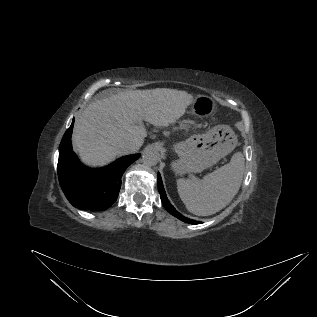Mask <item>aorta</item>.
<instances>
[{"label": "aorta", "instance_id": "1", "mask_svg": "<svg viewBox=\"0 0 317 317\" xmlns=\"http://www.w3.org/2000/svg\"><path fill=\"white\" fill-rule=\"evenodd\" d=\"M142 160L147 166H155L160 160V153L154 147H147L142 153Z\"/></svg>", "mask_w": 317, "mask_h": 317}]
</instances>
